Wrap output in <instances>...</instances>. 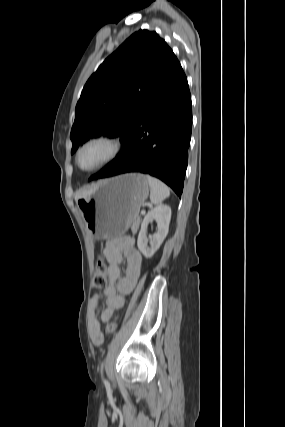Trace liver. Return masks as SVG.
<instances>
[{"instance_id": "liver-1", "label": "liver", "mask_w": 285, "mask_h": 427, "mask_svg": "<svg viewBox=\"0 0 285 427\" xmlns=\"http://www.w3.org/2000/svg\"><path fill=\"white\" fill-rule=\"evenodd\" d=\"M97 185H94V186H91V187H88V188H82V189L78 190L75 193V197L76 198H82V197H88V196H90L94 192V190L96 189Z\"/></svg>"}]
</instances>
